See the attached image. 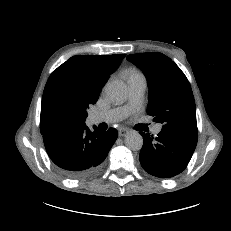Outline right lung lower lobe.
Masks as SVG:
<instances>
[{
  "label": "right lung lower lobe",
  "instance_id": "right-lung-lower-lobe-1",
  "mask_svg": "<svg viewBox=\"0 0 231 231\" xmlns=\"http://www.w3.org/2000/svg\"><path fill=\"white\" fill-rule=\"evenodd\" d=\"M85 123L75 128L42 134L46 151L59 171L66 177L80 179L95 174L102 166L118 132H103Z\"/></svg>",
  "mask_w": 231,
  "mask_h": 231
}]
</instances>
